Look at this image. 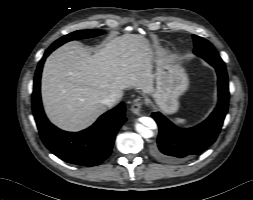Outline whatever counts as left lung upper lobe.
Masks as SVG:
<instances>
[{
	"label": "left lung upper lobe",
	"instance_id": "left-lung-upper-lobe-1",
	"mask_svg": "<svg viewBox=\"0 0 253 200\" xmlns=\"http://www.w3.org/2000/svg\"><path fill=\"white\" fill-rule=\"evenodd\" d=\"M194 53L206 60L212 66H220L226 68L224 62L214 49L213 45L206 39L193 35Z\"/></svg>",
	"mask_w": 253,
	"mask_h": 200
}]
</instances>
